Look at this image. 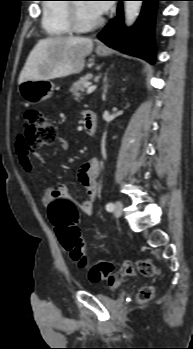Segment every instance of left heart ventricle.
Instances as JSON below:
<instances>
[{"instance_id": "obj_1", "label": "left heart ventricle", "mask_w": 193, "mask_h": 349, "mask_svg": "<svg viewBox=\"0 0 193 349\" xmlns=\"http://www.w3.org/2000/svg\"><path fill=\"white\" fill-rule=\"evenodd\" d=\"M80 6V14L81 18L84 22L90 21L96 17H98L96 14H94L91 9L89 8L88 3H79Z\"/></svg>"}]
</instances>
